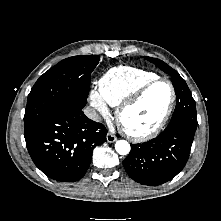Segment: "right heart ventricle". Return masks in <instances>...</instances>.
I'll return each mask as SVG.
<instances>
[{
    "instance_id": "right-heart-ventricle-1",
    "label": "right heart ventricle",
    "mask_w": 221,
    "mask_h": 221,
    "mask_svg": "<svg viewBox=\"0 0 221 221\" xmlns=\"http://www.w3.org/2000/svg\"><path fill=\"white\" fill-rule=\"evenodd\" d=\"M156 77L157 74L141 68L114 67L99 79V94L105 103L116 107L140 86Z\"/></svg>"
}]
</instances>
